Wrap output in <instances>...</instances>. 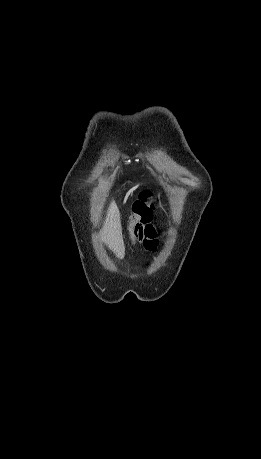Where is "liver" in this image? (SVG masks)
<instances>
[{
	"mask_svg": "<svg viewBox=\"0 0 261 459\" xmlns=\"http://www.w3.org/2000/svg\"><path fill=\"white\" fill-rule=\"evenodd\" d=\"M103 235L109 248L115 252L118 258H123V244L111 225L105 226Z\"/></svg>",
	"mask_w": 261,
	"mask_h": 459,
	"instance_id": "6515ba94",
	"label": "liver"
}]
</instances>
